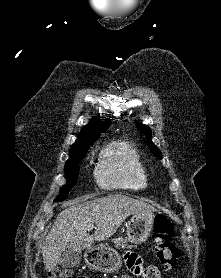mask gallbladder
I'll return each mask as SVG.
<instances>
[{
    "mask_svg": "<svg viewBox=\"0 0 221 278\" xmlns=\"http://www.w3.org/2000/svg\"><path fill=\"white\" fill-rule=\"evenodd\" d=\"M82 254L80 251L67 249L60 257L58 264L64 268L74 267L79 264Z\"/></svg>",
    "mask_w": 221,
    "mask_h": 278,
    "instance_id": "bac80fb5",
    "label": "gallbladder"
}]
</instances>
